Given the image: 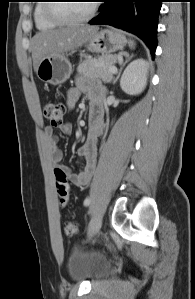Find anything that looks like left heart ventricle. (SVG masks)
<instances>
[{"label": "left heart ventricle", "mask_w": 195, "mask_h": 299, "mask_svg": "<svg viewBox=\"0 0 195 299\" xmlns=\"http://www.w3.org/2000/svg\"><path fill=\"white\" fill-rule=\"evenodd\" d=\"M92 5V1H72L59 3L55 7V11L64 17L80 18L85 16Z\"/></svg>", "instance_id": "1"}]
</instances>
